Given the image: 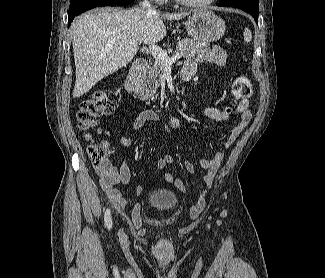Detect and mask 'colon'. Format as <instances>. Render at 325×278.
Masks as SVG:
<instances>
[{
	"mask_svg": "<svg viewBox=\"0 0 325 278\" xmlns=\"http://www.w3.org/2000/svg\"><path fill=\"white\" fill-rule=\"evenodd\" d=\"M232 93L236 100L239 101L250 97L252 94V84L250 80L245 76L236 77L232 84ZM115 107L116 102L102 92L95 93L91 97L80 102L76 112V120L79 128L85 133L86 138H92L93 132L98 125L99 117L110 114L114 111ZM230 113V108L225 109L222 116L217 117L215 122H221L223 118ZM87 151L93 165L99 167L108 155L110 146L107 142L91 144ZM200 209L201 206L197 205L193 213L197 214Z\"/></svg>",
	"mask_w": 325,
	"mask_h": 278,
	"instance_id": "5ec220e1",
	"label": "colon"
}]
</instances>
